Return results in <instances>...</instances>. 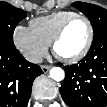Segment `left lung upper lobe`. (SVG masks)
I'll use <instances>...</instances> for the list:
<instances>
[{
  "instance_id": "1",
  "label": "left lung upper lobe",
  "mask_w": 107,
  "mask_h": 107,
  "mask_svg": "<svg viewBox=\"0 0 107 107\" xmlns=\"http://www.w3.org/2000/svg\"><path fill=\"white\" fill-rule=\"evenodd\" d=\"M78 10L83 12L90 20L93 30L94 39L107 34V10L93 4L75 2L72 4Z\"/></svg>"
}]
</instances>
